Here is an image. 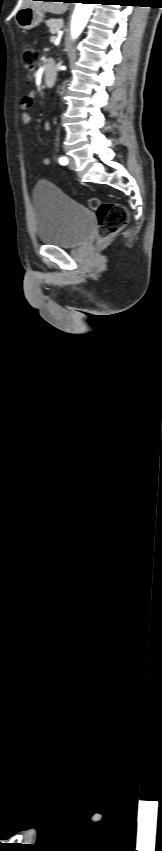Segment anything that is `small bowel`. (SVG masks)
I'll return each mask as SVG.
<instances>
[{
    "instance_id": "1",
    "label": "small bowel",
    "mask_w": 162,
    "mask_h": 851,
    "mask_svg": "<svg viewBox=\"0 0 162 851\" xmlns=\"http://www.w3.org/2000/svg\"><path fill=\"white\" fill-rule=\"evenodd\" d=\"M35 96H36L35 92L31 91L27 95H25L20 101V106L24 110L23 113L21 114V121H22L23 125H28L31 121V116L29 115V113L26 110L31 108V106L33 105ZM44 128H45V130H48L50 128V124L46 123ZM50 163H51V161H50L49 158L43 159V164L45 166L50 165Z\"/></svg>"
}]
</instances>
